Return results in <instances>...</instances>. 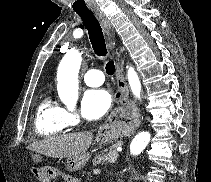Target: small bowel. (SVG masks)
<instances>
[{
  "mask_svg": "<svg viewBox=\"0 0 211 182\" xmlns=\"http://www.w3.org/2000/svg\"><path fill=\"white\" fill-rule=\"evenodd\" d=\"M65 181L66 182H80L78 178L71 177V176H66Z\"/></svg>",
  "mask_w": 211,
  "mask_h": 182,
  "instance_id": "1",
  "label": "small bowel"
}]
</instances>
